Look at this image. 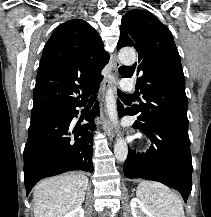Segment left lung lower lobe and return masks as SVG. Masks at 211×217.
<instances>
[{
  "label": "left lung lower lobe",
  "mask_w": 211,
  "mask_h": 217,
  "mask_svg": "<svg viewBox=\"0 0 211 217\" xmlns=\"http://www.w3.org/2000/svg\"><path fill=\"white\" fill-rule=\"evenodd\" d=\"M119 115H131L130 108H124L117 101ZM134 127L142 129L151 139L152 146L146 153L128 149L124 163V175L129 179L143 178L161 182L178 190L184 201L192 189V160L188 132L162 122L145 123L136 121Z\"/></svg>",
  "instance_id": "0a47b994"
}]
</instances>
